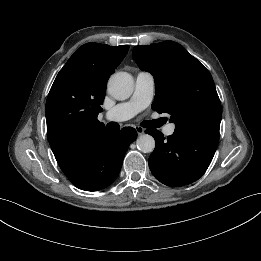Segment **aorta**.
<instances>
[{"mask_svg": "<svg viewBox=\"0 0 261 261\" xmlns=\"http://www.w3.org/2000/svg\"><path fill=\"white\" fill-rule=\"evenodd\" d=\"M134 90L132 76L126 72L114 73L108 81V91L117 100H125L131 96ZM138 150L143 153H151L155 148V140L151 135L143 134L136 140Z\"/></svg>", "mask_w": 261, "mask_h": 261, "instance_id": "1", "label": "aorta"}]
</instances>
